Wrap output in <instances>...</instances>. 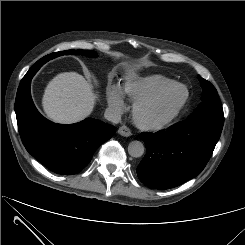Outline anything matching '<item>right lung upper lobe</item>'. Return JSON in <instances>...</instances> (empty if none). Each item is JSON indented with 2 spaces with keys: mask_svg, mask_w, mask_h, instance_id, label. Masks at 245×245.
<instances>
[{
  "mask_svg": "<svg viewBox=\"0 0 245 245\" xmlns=\"http://www.w3.org/2000/svg\"><path fill=\"white\" fill-rule=\"evenodd\" d=\"M42 65L39 63H35L30 69L29 71L26 73V75L24 76V78L22 79V82L26 81L27 79H30L33 77V75L38 71V69L41 67Z\"/></svg>",
  "mask_w": 245,
  "mask_h": 245,
  "instance_id": "obj_1",
  "label": "right lung upper lobe"
}]
</instances>
